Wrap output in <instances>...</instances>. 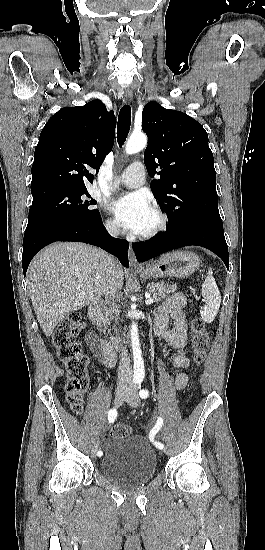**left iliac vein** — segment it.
<instances>
[{"label": "left iliac vein", "instance_id": "left-iliac-vein-1", "mask_svg": "<svg viewBox=\"0 0 265 550\" xmlns=\"http://www.w3.org/2000/svg\"><path fill=\"white\" fill-rule=\"evenodd\" d=\"M125 401L131 406V407H138L140 404V398L135 390V388H130L128 391V394L125 398ZM165 453L167 450L164 448L163 450Z\"/></svg>", "mask_w": 265, "mask_h": 550}]
</instances>
